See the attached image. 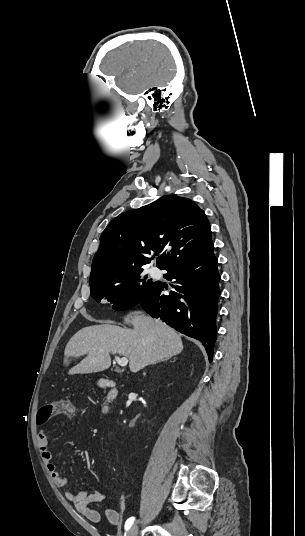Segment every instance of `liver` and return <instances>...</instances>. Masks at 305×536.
<instances>
[{"label": "liver", "instance_id": "6515ba94", "mask_svg": "<svg viewBox=\"0 0 305 536\" xmlns=\"http://www.w3.org/2000/svg\"><path fill=\"white\" fill-rule=\"evenodd\" d=\"M126 322L132 324L134 330H124L111 326L113 322H104L102 326H89L74 334L65 348L64 364L67 366L70 358H86L71 368L68 374L103 372L111 366L110 354L126 356L131 372H139L145 366L182 352L179 334L161 320L132 312Z\"/></svg>", "mask_w": 305, "mask_h": 536}]
</instances>
